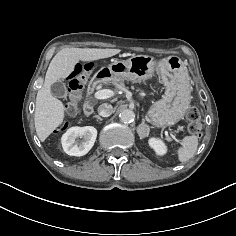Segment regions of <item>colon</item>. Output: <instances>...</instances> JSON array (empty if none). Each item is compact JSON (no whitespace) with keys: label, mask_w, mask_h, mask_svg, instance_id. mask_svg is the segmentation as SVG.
Returning <instances> with one entry per match:
<instances>
[{"label":"colon","mask_w":236,"mask_h":236,"mask_svg":"<svg viewBox=\"0 0 236 236\" xmlns=\"http://www.w3.org/2000/svg\"><path fill=\"white\" fill-rule=\"evenodd\" d=\"M87 70V67L81 63H75L71 71V79L68 86V107L70 110L77 108L78 101L80 99V91L84 86L83 73ZM188 121V131L191 135H201V114L196 107H190L186 114Z\"/></svg>","instance_id":"5ec220e1"}]
</instances>
